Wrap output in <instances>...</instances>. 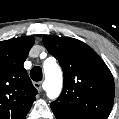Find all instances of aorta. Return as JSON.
<instances>
[{"label": "aorta", "mask_w": 119, "mask_h": 119, "mask_svg": "<svg viewBox=\"0 0 119 119\" xmlns=\"http://www.w3.org/2000/svg\"><path fill=\"white\" fill-rule=\"evenodd\" d=\"M45 73L44 87L47 96L55 99L62 89V71L55 61H46L43 65Z\"/></svg>", "instance_id": "1"}]
</instances>
